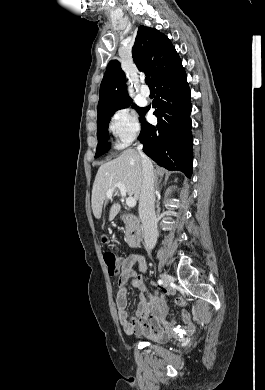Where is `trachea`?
<instances>
[{
    "mask_svg": "<svg viewBox=\"0 0 265 390\" xmlns=\"http://www.w3.org/2000/svg\"><path fill=\"white\" fill-rule=\"evenodd\" d=\"M145 82H146V84H147L149 87H153L152 80H151L150 77H146V78H145Z\"/></svg>",
    "mask_w": 265,
    "mask_h": 390,
    "instance_id": "1",
    "label": "trachea"
}]
</instances>
